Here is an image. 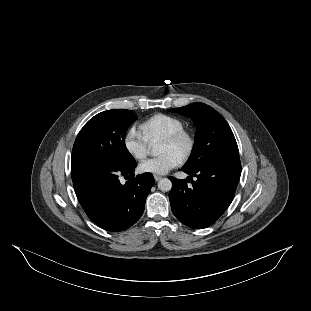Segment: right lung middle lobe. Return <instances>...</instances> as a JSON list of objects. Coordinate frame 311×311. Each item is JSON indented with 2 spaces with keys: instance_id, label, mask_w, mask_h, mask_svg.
<instances>
[{
  "instance_id": "right-lung-middle-lobe-1",
  "label": "right lung middle lobe",
  "mask_w": 311,
  "mask_h": 311,
  "mask_svg": "<svg viewBox=\"0 0 311 311\" xmlns=\"http://www.w3.org/2000/svg\"><path fill=\"white\" fill-rule=\"evenodd\" d=\"M137 119L131 110L113 109L92 117L80 130L72 150L71 166L86 160H102L130 166L135 159L125 145L129 126Z\"/></svg>"
}]
</instances>
